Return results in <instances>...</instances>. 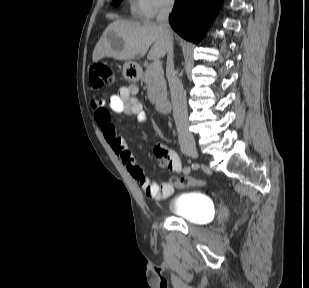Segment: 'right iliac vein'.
<instances>
[{"mask_svg": "<svg viewBox=\"0 0 309 288\" xmlns=\"http://www.w3.org/2000/svg\"><path fill=\"white\" fill-rule=\"evenodd\" d=\"M183 152L186 155L191 156L193 158H198L199 157L197 149L195 147H193V146L184 147L183 148Z\"/></svg>", "mask_w": 309, "mask_h": 288, "instance_id": "obj_1", "label": "right iliac vein"}]
</instances>
